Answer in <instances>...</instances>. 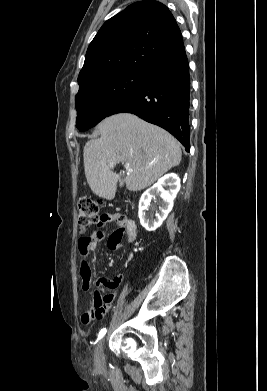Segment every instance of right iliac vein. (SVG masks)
<instances>
[{
  "mask_svg": "<svg viewBox=\"0 0 267 391\" xmlns=\"http://www.w3.org/2000/svg\"><path fill=\"white\" fill-rule=\"evenodd\" d=\"M103 347H104V339L99 341V343L97 344L96 349H95V355H94V357H95V364L98 367H101L104 364Z\"/></svg>",
  "mask_w": 267,
  "mask_h": 391,
  "instance_id": "right-iliac-vein-1",
  "label": "right iliac vein"
}]
</instances>
